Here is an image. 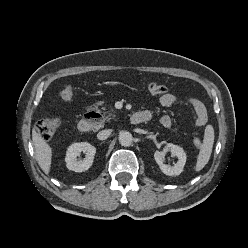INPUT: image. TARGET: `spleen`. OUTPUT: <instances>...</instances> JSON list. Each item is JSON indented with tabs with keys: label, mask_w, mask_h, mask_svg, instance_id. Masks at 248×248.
<instances>
[{
	"label": "spleen",
	"mask_w": 248,
	"mask_h": 248,
	"mask_svg": "<svg viewBox=\"0 0 248 248\" xmlns=\"http://www.w3.org/2000/svg\"><path fill=\"white\" fill-rule=\"evenodd\" d=\"M213 143H214V130L212 127L209 126L205 130L203 144L201 146L200 152L197 157V163L195 167L196 172L202 170L208 163L212 153Z\"/></svg>",
	"instance_id": "obj_1"
}]
</instances>
